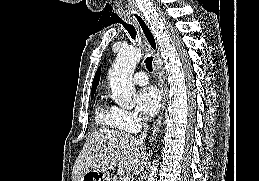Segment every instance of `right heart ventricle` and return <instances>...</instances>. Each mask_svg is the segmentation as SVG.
I'll list each match as a JSON object with an SVG mask.
<instances>
[{
    "label": "right heart ventricle",
    "instance_id": "right-heart-ventricle-1",
    "mask_svg": "<svg viewBox=\"0 0 259 181\" xmlns=\"http://www.w3.org/2000/svg\"><path fill=\"white\" fill-rule=\"evenodd\" d=\"M95 120L100 127L122 129L115 119L113 108H109L103 102H99L96 107Z\"/></svg>",
    "mask_w": 259,
    "mask_h": 181
}]
</instances>
